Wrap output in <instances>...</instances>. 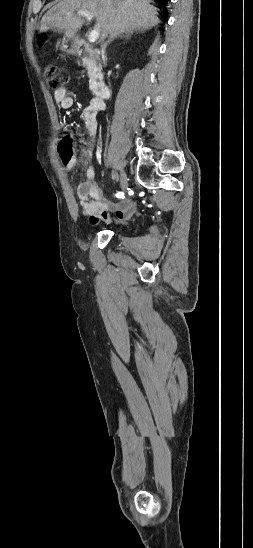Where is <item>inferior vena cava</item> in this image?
<instances>
[{"instance_id": "1", "label": "inferior vena cava", "mask_w": 253, "mask_h": 548, "mask_svg": "<svg viewBox=\"0 0 253 548\" xmlns=\"http://www.w3.org/2000/svg\"><path fill=\"white\" fill-rule=\"evenodd\" d=\"M105 52V44L102 45V54Z\"/></svg>"}]
</instances>
